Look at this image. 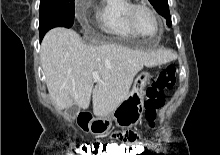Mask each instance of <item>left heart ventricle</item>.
Masks as SVG:
<instances>
[{
    "mask_svg": "<svg viewBox=\"0 0 220 155\" xmlns=\"http://www.w3.org/2000/svg\"><path fill=\"white\" fill-rule=\"evenodd\" d=\"M135 23L139 31L146 36H153L157 32V23L154 17L145 9L136 11Z\"/></svg>",
    "mask_w": 220,
    "mask_h": 155,
    "instance_id": "left-heart-ventricle-1",
    "label": "left heart ventricle"
}]
</instances>
